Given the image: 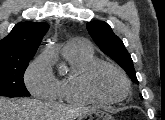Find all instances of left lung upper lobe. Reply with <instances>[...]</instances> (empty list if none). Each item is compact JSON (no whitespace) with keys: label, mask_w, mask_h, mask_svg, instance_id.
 I'll list each match as a JSON object with an SVG mask.
<instances>
[{"label":"left lung upper lobe","mask_w":165,"mask_h":120,"mask_svg":"<svg viewBox=\"0 0 165 120\" xmlns=\"http://www.w3.org/2000/svg\"><path fill=\"white\" fill-rule=\"evenodd\" d=\"M87 29L100 50L117 62L131 80L138 84L131 56L111 27L104 21H91L87 23Z\"/></svg>","instance_id":"1"}]
</instances>
